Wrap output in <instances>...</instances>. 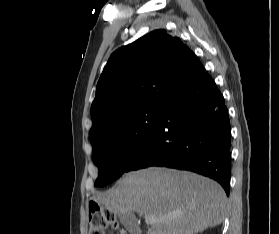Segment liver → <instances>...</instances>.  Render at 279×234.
Segmentation results:
<instances>
[{
    "instance_id": "obj_1",
    "label": "liver",
    "mask_w": 279,
    "mask_h": 234,
    "mask_svg": "<svg viewBox=\"0 0 279 234\" xmlns=\"http://www.w3.org/2000/svg\"><path fill=\"white\" fill-rule=\"evenodd\" d=\"M94 200L112 213L152 216L147 234H194L222 223L227 198L215 181L195 173L151 167L127 173Z\"/></svg>"
}]
</instances>
